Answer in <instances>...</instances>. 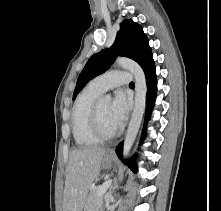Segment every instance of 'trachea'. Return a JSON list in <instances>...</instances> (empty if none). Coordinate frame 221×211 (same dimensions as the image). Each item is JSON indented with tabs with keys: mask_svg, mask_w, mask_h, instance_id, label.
I'll return each mask as SVG.
<instances>
[{
	"mask_svg": "<svg viewBox=\"0 0 221 211\" xmlns=\"http://www.w3.org/2000/svg\"><path fill=\"white\" fill-rule=\"evenodd\" d=\"M129 85L134 86V82H130V84H129Z\"/></svg>",
	"mask_w": 221,
	"mask_h": 211,
	"instance_id": "trachea-1",
	"label": "trachea"
}]
</instances>
